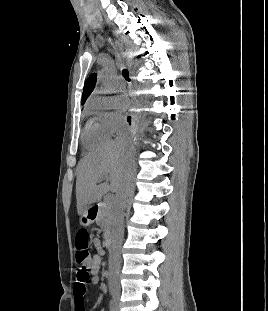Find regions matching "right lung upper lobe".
<instances>
[{"instance_id": "obj_1", "label": "right lung upper lobe", "mask_w": 268, "mask_h": 311, "mask_svg": "<svg viewBox=\"0 0 268 311\" xmlns=\"http://www.w3.org/2000/svg\"><path fill=\"white\" fill-rule=\"evenodd\" d=\"M95 84H96V74L93 73L88 77V79L85 82L81 101L82 105H84L85 101L93 91Z\"/></svg>"}]
</instances>
